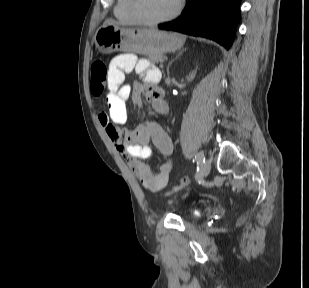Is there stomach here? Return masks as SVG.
<instances>
[{"instance_id": "obj_1", "label": "stomach", "mask_w": 309, "mask_h": 288, "mask_svg": "<svg viewBox=\"0 0 309 288\" xmlns=\"http://www.w3.org/2000/svg\"><path fill=\"white\" fill-rule=\"evenodd\" d=\"M94 42L102 53L121 51L149 57L180 49L185 43V36L157 29H131L105 23L96 31Z\"/></svg>"}]
</instances>
